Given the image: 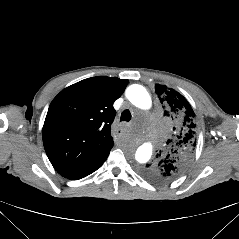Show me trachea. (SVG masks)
Wrapping results in <instances>:
<instances>
[{
	"instance_id": "3493384b",
	"label": "trachea",
	"mask_w": 239,
	"mask_h": 239,
	"mask_svg": "<svg viewBox=\"0 0 239 239\" xmlns=\"http://www.w3.org/2000/svg\"><path fill=\"white\" fill-rule=\"evenodd\" d=\"M131 120V113L130 111L127 109V110H124L122 113H121V118H120V121H130Z\"/></svg>"
}]
</instances>
